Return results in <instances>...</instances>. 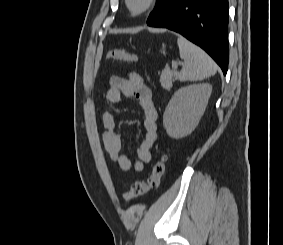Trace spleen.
<instances>
[{"instance_id":"obj_1","label":"spleen","mask_w":283,"mask_h":245,"mask_svg":"<svg viewBox=\"0 0 283 245\" xmlns=\"http://www.w3.org/2000/svg\"><path fill=\"white\" fill-rule=\"evenodd\" d=\"M177 43L184 60L179 74L181 81H200L216 73L217 65L200 47L182 36L178 37Z\"/></svg>"}]
</instances>
